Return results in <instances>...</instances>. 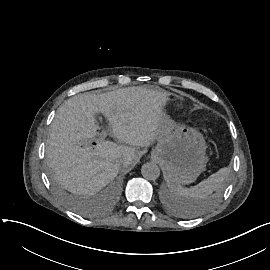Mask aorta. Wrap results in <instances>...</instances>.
I'll use <instances>...</instances> for the list:
<instances>
[{
  "label": "aorta",
  "instance_id": "aorta-1",
  "mask_svg": "<svg viewBox=\"0 0 270 270\" xmlns=\"http://www.w3.org/2000/svg\"><path fill=\"white\" fill-rule=\"evenodd\" d=\"M142 176L147 180H155L160 175V169L158 165L153 162H147L142 165L141 168Z\"/></svg>",
  "mask_w": 270,
  "mask_h": 270
}]
</instances>
